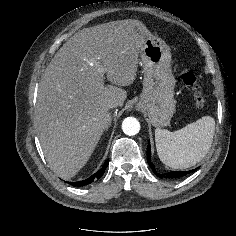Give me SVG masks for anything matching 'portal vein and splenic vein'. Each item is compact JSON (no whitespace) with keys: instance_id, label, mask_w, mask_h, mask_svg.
<instances>
[{"instance_id":"18ae733b","label":"portal vein and splenic vein","mask_w":236,"mask_h":236,"mask_svg":"<svg viewBox=\"0 0 236 236\" xmlns=\"http://www.w3.org/2000/svg\"><path fill=\"white\" fill-rule=\"evenodd\" d=\"M91 66L96 67L100 72H104L105 68L100 64L99 61H92Z\"/></svg>"}]
</instances>
